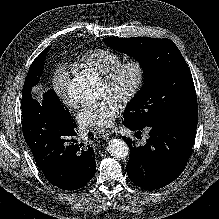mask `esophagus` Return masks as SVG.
Here are the masks:
<instances>
[{
	"label": "esophagus",
	"instance_id": "1",
	"mask_svg": "<svg viewBox=\"0 0 219 219\" xmlns=\"http://www.w3.org/2000/svg\"><path fill=\"white\" fill-rule=\"evenodd\" d=\"M109 134V131L105 129H101L96 132V135L101 139H107L109 137Z\"/></svg>",
	"mask_w": 219,
	"mask_h": 219
}]
</instances>
